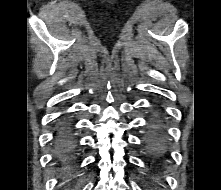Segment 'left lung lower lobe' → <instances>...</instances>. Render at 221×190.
<instances>
[{
    "label": "left lung lower lobe",
    "instance_id": "left-lung-lower-lobe-1",
    "mask_svg": "<svg viewBox=\"0 0 221 190\" xmlns=\"http://www.w3.org/2000/svg\"><path fill=\"white\" fill-rule=\"evenodd\" d=\"M161 131L159 129H153L152 136L148 143V150L153 156L163 155V145L161 141Z\"/></svg>",
    "mask_w": 221,
    "mask_h": 190
}]
</instances>
